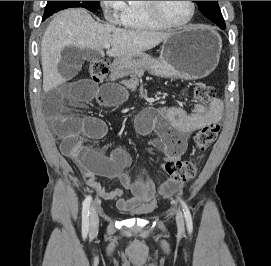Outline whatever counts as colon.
<instances>
[{"label": "colon", "mask_w": 271, "mask_h": 266, "mask_svg": "<svg viewBox=\"0 0 271 266\" xmlns=\"http://www.w3.org/2000/svg\"><path fill=\"white\" fill-rule=\"evenodd\" d=\"M109 70L105 59L94 60L89 65V74L94 82L102 81ZM215 90L208 84H199L194 89V100L209 105L214 101ZM219 121H212L203 126L194 136V146L198 152L206 151L217 139L220 132ZM162 170L171 180L188 181L196 174V164L191 160L172 159L161 165Z\"/></svg>", "instance_id": "colon-1"}]
</instances>
